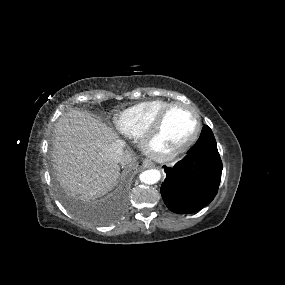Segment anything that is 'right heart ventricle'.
<instances>
[{"mask_svg":"<svg viewBox=\"0 0 285 285\" xmlns=\"http://www.w3.org/2000/svg\"><path fill=\"white\" fill-rule=\"evenodd\" d=\"M172 102L149 100L123 110L116 119L118 129L125 135L141 138L158 115Z\"/></svg>","mask_w":285,"mask_h":285,"instance_id":"obj_1","label":"right heart ventricle"}]
</instances>
